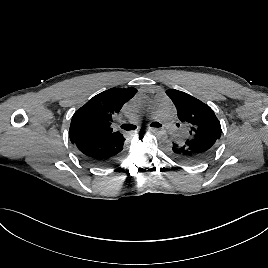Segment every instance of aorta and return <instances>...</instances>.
I'll list each match as a JSON object with an SVG mask.
<instances>
[{
  "mask_svg": "<svg viewBox=\"0 0 268 268\" xmlns=\"http://www.w3.org/2000/svg\"><path fill=\"white\" fill-rule=\"evenodd\" d=\"M137 103L139 106H144L147 103V98L146 97H139L137 100ZM154 135L157 139L164 140L168 136V131L164 127H159L155 130Z\"/></svg>",
  "mask_w": 268,
  "mask_h": 268,
  "instance_id": "1",
  "label": "aorta"
}]
</instances>
